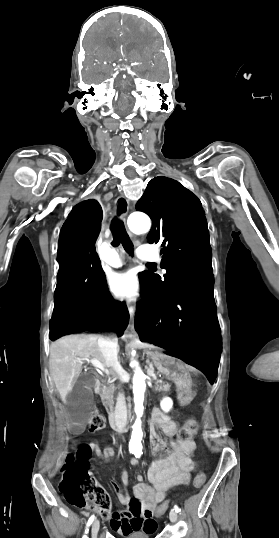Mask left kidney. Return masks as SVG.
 Segmentation results:
<instances>
[{
	"instance_id": "5707ae66",
	"label": "left kidney",
	"mask_w": 279,
	"mask_h": 538,
	"mask_svg": "<svg viewBox=\"0 0 279 538\" xmlns=\"http://www.w3.org/2000/svg\"><path fill=\"white\" fill-rule=\"evenodd\" d=\"M160 406L163 412H170V410H172L173 408V402L171 398H167V396H164V398H162L160 402Z\"/></svg>"
}]
</instances>
